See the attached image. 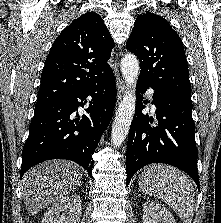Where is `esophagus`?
<instances>
[{
	"instance_id": "34e87169",
	"label": "esophagus",
	"mask_w": 221,
	"mask_h": 223,
	"mask_svg": "<svg viewBox=\"0 0 221 223\" xmlns=\"http://www.w3.org/2000/svg\"><path fill=\"white\" fill-rule=\"evenodd\" d=\"M115 75H116V85H117V99L119 101L122 97L124 90H125V84H124L122 78L120 77L117 60L115 61Z\"/></svg>"
}]
</instances>
